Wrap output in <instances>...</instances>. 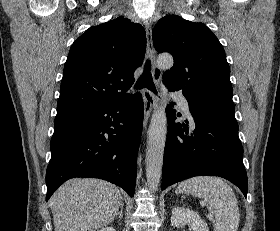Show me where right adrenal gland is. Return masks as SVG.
Returning <instances> with one entry per match:
<instances>
[{"label": "right adrenal gland", "instance_id": "obj_1", "mask_svg": "<svg viewBox=\"0 0 280 231\" xmlns=\"http://www.w3.org/2000/svg\"><path fill=\"white\" fill-rule=\"evenodd\" d=\"M116 217H120V219H122V217H123V203H121L120 211H117V213H115L114 219H116Z\"/></svg>", "mask_w": 280, "mask_h": 231}]
</instances>
